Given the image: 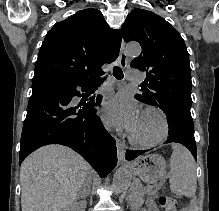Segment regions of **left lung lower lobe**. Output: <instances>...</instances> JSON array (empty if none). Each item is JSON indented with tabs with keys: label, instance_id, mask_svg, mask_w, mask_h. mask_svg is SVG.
<instances>
[{
	"label": "left lung lower lobe",
	"instance_id": "1",
	"mask_svg": "<svg viewBox=\"0 0 219 211\" xmlns=\"http://www.w3.org/2000/svg\"><path fill=\"white\" fill-rule=\"evenodd\" d=\"M169 131L168 138L165 143H180L187 147L192 153L195 160H197V148L194 138L193 121L182 118L168 119ZM148 150H127L126 159L132 160Z\"/></svg>",
	"mask_w": 219,
	"mask_h": 211
}]
</instances>
